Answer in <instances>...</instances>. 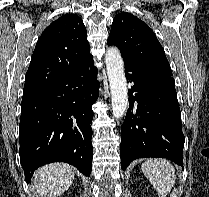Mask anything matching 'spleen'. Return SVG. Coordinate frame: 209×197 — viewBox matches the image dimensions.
<instances>
[{
  "instance_id": "3e777b00",
  "label": "spleen",
  "mask_w": 209,
  "mask_h": 197,
  "mask_svg": "<svg viewBox=\"0 0 209 197\" xmlns=\"http://www.w3.org/2000/svg\"><path fill=\"white\" fill-rule=\"evenodd\" d=\"M141 168L159 197H166L176 180L173 165L165 159H148L142 164Z\"/></svg>"
}]
</instances>
